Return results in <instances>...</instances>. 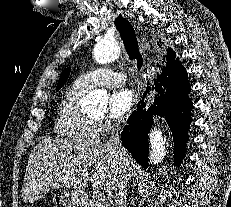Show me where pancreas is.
<instances>
[{
	"instance_id": "1",
	"label": "pancreas",
	"mask_w": 231,
	"mask_h": 207,
	"mask_svg": "<svg viewBox=\"0 0 231 207\" xmlns=\"http://www.w3.org/2000/svg\"><path fill=\"white\" fill-rule=\"evenodd\" d=\"M84 207H107L103 202L98 201L96 198L89 200Z\"/></svg>"
}]
</instances>
